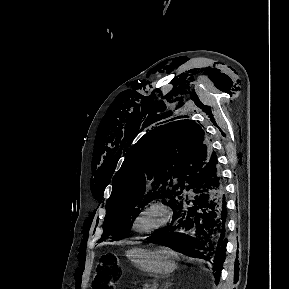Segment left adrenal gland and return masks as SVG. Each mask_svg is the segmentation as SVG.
<instances>
[{
    "instance_id": "obj_1",
    "label": "left adrenal gland",
    "mask_w": 289,
    "mask_h": 289,
    "mask_svg": "<svg viewBox=\"0 0 289 289\" xmlns=\"http://www.w3.org/2000/svg\"><path fill=\"white\" fill-rule=\"evenodd\" d=\"M171 285L170 282H165L164 286L161 289H168V287Z\"/></svg>"
}]
</instances>
